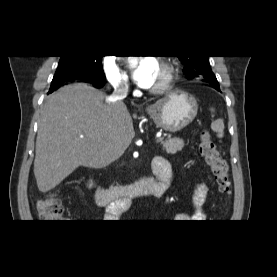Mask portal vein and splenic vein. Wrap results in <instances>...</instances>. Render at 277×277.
<instances>
[{
    "label": "portal vein and splenic vein",
    "instance_id": "18ae733b",
    "mask_svg": "<svg viewBox=\"0 0 277 277\" xmlns=\"http://www.w3.org/2000/svg\"><path fill=\"white\" fill-rule=\"evenodd\" d=\"M164 140V137H158L157 140H156V143H160Z\"/></svg>",
    "mask_w": 277,
    "mask_h": 277
}]
</instances>
